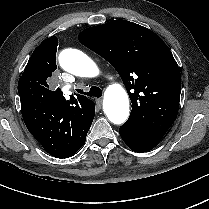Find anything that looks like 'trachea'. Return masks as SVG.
<instances>
[{
    "instance_id": "3493384b",
    "label": "trachea",
    "mask_w": 209,
    "mask_h": 209,
    "mask_svg": "<svg viewBox=\"0 0 209 209\" xmlns=\"http://www.w3.org/2000/svg\"><path fill=\"white\" fill-rule=\"evenodd\" d=\"M80 94H84L90 97H101L102 96V90L99 87L92 86L88 92H84L83 90L79 89L77 90Z\"/></svg>"
}]
</instances>
